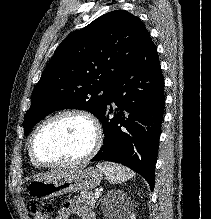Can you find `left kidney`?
<instances>
[{
    "label": "left kidney",
    "instance_id": "obj_1",
    "mask_svg": "<svg viewBox=\"0 0 211 219\" xmlns=\"http://www.w3.org/2000/svg\"><path fill=\"white\" fill-rule=\"evenodd\" d=\"M114 195H117L118 198H120V200H121L120 205H122V201L127 198L126 194L122 193L121 191L114 192ZM114 216L116 218H119V219H122V218H124V219H136L134 213L125 212V211L124 212L123 211H118Z\"/></svg>",
    "mask_w": 211,
    "mask_h": 219
}]
</instances>
